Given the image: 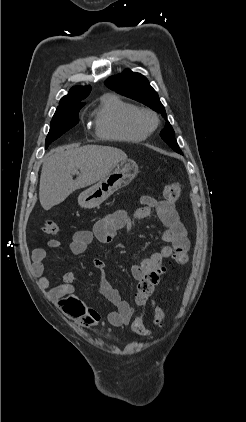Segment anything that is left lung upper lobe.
I'll use <instances>...</instances> for the list:
<instances>
[{"instance_id": "1", "label": "left lung upper lobe", "mask_w": 246, "mask_h": 422, "mask_svg": "<svg viewBox=\"0 0 246 422\" xmlns=\"http://www.w3.org/2000/svg\"><path fill=\"white\" fill-rule=\"evenodd\" d=\"M105 85L121 95L147 105L167 119L164 106L160 102L158 94L150 86L147 78L140 73L126 69L122 74L108 78L105 81ZM160 136L174 151L182 154L175 140L174 130L168 121Z\"/></svg>"}]
</instances>
